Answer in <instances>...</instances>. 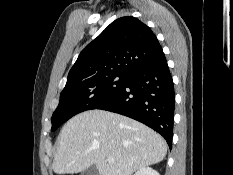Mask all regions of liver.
<instances>
[{
	"instance_id": "1",
	"label": "liver",
	"mask_w": 233,
	"mask_h": 175,
	"mask_svg": "<svg viewBox=\"0 0 233 175\" xmlns=\"http://www.w3.org/2000/svg\"><path fill=\"white\" fill-rule=\"evenodd\" d=\"M52 169L76 174L95 165L99 175H132L161 162L165 140L154 130L129 117L89 110L71 118L59 134ZM113 158L109 164L107 159Z\"/></svg>"
}]
</instances>
